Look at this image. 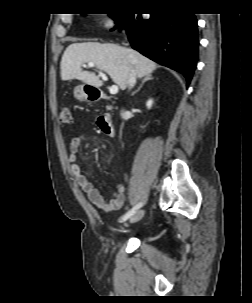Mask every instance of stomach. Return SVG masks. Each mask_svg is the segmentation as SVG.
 <instances>
[{
    "label": "stomach",
    "instance_id": "0dacf381",
    "mask_svg": "<svg viewBox=\"0 0 252 303\" xmlns=\"http://www.w3.org/2000/svg\"><path fill=\"white\" fill-rule=\"evenodd\" d=\"M88 86L87 85H78L74 89V96L76 99L80 101H86L89 99V95L87 92Z\"/></svg>",
    "mask_w": 252,
    "mask_h": 303
}]
</instances>
